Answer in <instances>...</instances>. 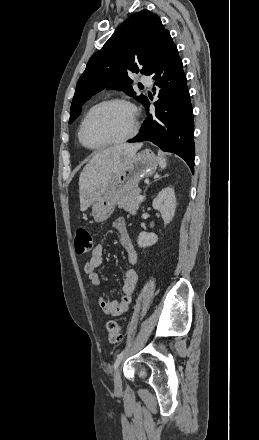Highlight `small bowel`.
Instances as JSON below:
<instances>
[{
    "label": "small bowel",
    "mask_w": 259,
    "mask_h": 440,
    "mask_svg": "<svg viewBox=\"0 0 259 440\" xmlns=\"http://www.w3.org/2000/svg\"><path fill=\"white\" fill-rule=\"evenodd\" d=\"M113 227L119 234V243L126 253V259L129 265H135L138 261V254L135 250L131 237L127 231L126 221L124 218H117L113 222ZM104 248L101 244L96 245L89 260L84 264V272L87 274L89 281L93 287H98L101 284V279L96 272L103 263ZM138 276L133 268H129L125 272V277L122 285V297L118 301H110L106 298H99L98 304L101 310L111 316H119L125 313L131 303L132 294L135 290Z\"/></svg>",
    "instance_id": "obj_1"
}]
</instances>
